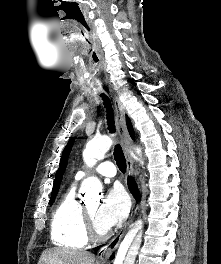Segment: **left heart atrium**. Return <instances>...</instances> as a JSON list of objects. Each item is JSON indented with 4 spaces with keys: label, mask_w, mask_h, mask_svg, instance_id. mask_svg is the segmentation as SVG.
<instances>
[{
    "label": "left heart atrium",
    "mask_w": 221,
    "mask_h": 264,
    "mask_svg": "<svg viewBox=\"0 0 221 264\" xmlns=\"http://www.w3.org/2000/svg\"><path fill=\"white\" fill-rule=\"evenodd\" d=\"M129 199L120 187L112 188L96 211V219L106 230L121 222L128 214Z\"/></svg>",
    "instance_id": "obj_1"
}]
</instances>
